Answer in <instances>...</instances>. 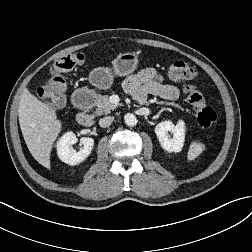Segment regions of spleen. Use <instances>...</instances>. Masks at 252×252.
Returning <instances> with one entry per match:
<instances>
[{
    "label": "spleen",
    "instance_id": "obj_1",
    "mask_svg": "<svg viewBox=\"0 0 252 252\" xmlns=\"http://www.w3.org/2000/svg\"><path fill=\"white\" fill-rule=\"evenodd\" d=\"M205 149V145L201 142L193 141L189 147L187 160L192 161L196 159Z\"/></svg>",
    "mask_w": 252,
    "mask_h": 252
}]
</instances>
